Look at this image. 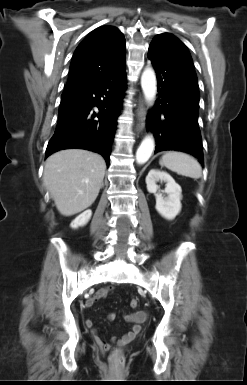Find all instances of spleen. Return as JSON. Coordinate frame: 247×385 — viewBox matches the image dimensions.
I'll use <instances>...</instances> for the list:
<instances>
[{"mask_svg": "<svg viewBox=\"0 0 247 385\" xmlns=\"http://www.w3.org/2000/svg\"><path fill=\"white\" fill-rule=\"evenodd\" d=\"M160 165L190 178L198 179L202 176V168L199 162L186 153L166 152L160 159Z\"/></svg>", "mask_w": 247, "mask_h": 385, "instance_id": "1", "label": "spleen"}]
</instances>
